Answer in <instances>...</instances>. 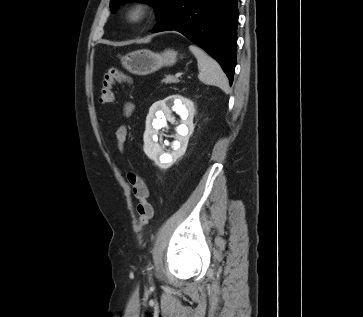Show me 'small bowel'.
Here are the masks:
<instances>
[{"label": "small bowel", "instance_id": "small-bowel-1", "mask_svg": "<svg viewBox=\"0 0 363 317\" xmlns=\"http://www.w3.org/2000/svg\"><path fill=\"white\" fill-rule=\"evenodd\" d=\"M132 110H133V105L131 103H127L125 105V113L130 114ZM126 139H127V129L125 127H119L116 131V140L118 148L121 151L124 148Z\"/></svg>", "mask_w": 363, "mask_h": 317}]
</instances>
